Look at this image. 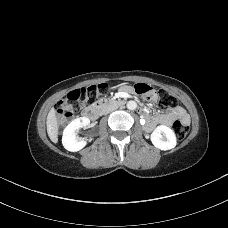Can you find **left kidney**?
I'll return each instance as SVG.
<instances>
[{"mask_svg": "<svg viewBox=\"0 0 228 228\" xmlns=\"http://www.w3.org/2000/svg\"><path fill=\"white\" fill-rule=\"evenodd\" d=\"M152 144L160 150H170L176 146V136L174 131L165 126L159 125L151 134Z\"/></svg>", "mask_w": 228, "mask_h": 228, "instance_id": "obj_1", "label": "left kidney"}]
</instances>
